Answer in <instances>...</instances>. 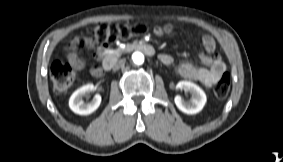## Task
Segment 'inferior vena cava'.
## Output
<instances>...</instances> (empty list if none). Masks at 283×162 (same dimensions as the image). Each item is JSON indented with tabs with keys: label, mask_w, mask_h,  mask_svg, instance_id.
<instances>
[{
	"label": "inferior vena cava",
	"mask_w": 283,
	"mask_h": 162,
	"mask_svg": "<svg viewBox=\"0 0 283 162\" xmlns=\"http://www.w3.org/2000/svg\"><path fill=\"white\" fill-rule=\"evenodd\" d=\"M124 65H125V60H123V59H122V60H119L118 62H116V63L114 64L113 70H118V69L124 67Z\"/></svg>",
	"instance_id": "1"
}]
</instances>
